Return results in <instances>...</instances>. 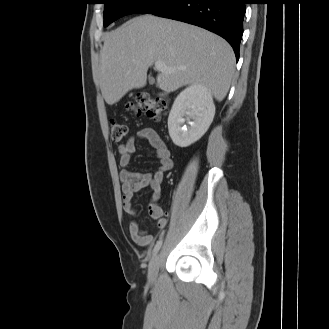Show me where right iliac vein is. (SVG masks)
<instances>
[{
    "instance_id": "right-iliac-vein-1",
    "label": "right iliac vein",
    "mask_w": 329,
    "mask_h": 329,
    "mask_svg": "<svg viewBox=\"0 0 329 329\" xmlns=\"http://www.w3.org/2000/svg\"><path fill=\"white\" fill-rule=\"evenodd\" d=\"M159 262H160V255L157 254L151 259V261L149 263V267H148V281H149V283H154L156 278H157L158 269H159Z\"/></svg>"
}]
</instances>
